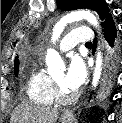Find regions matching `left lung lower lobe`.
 <instances>
[{
	"label": "left lung lower lobe",
	"mask_w": 122,
	"mask_h": 123,
	"mask_svg": "<svg viewBox=\"0 0 122 123\" xmlns=\"http://www.w3.org/2000/svg\"><path fill=\"white\" fill-rule=\"evenodd\" d=\"M102 26L104 37L109 44V64L107 76L105 79V86L108 90H110L116 82L120 55L122 53V45H121L122 42L120 40V37L117 35L116 26L111 14H109L106 17ZM95 47H96V39L94 41V49Z\"/></svg>",
	"instance_id": "1"
}]
</instances>
